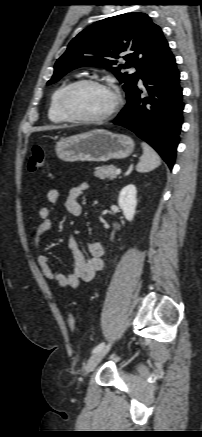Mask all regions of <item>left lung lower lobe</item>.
Wrapping results in <instances>:
<instances>
[{
    "mask_svg": "<svg viewBox=\"0 0 202 437\" xmlns=\"http://www.w3.org/2000/svg\"><path fill=\"white\" fill-rule=\"evenodd\" d=\"M145 97L137 86L114 124L126 127L149 143L172 169L183 123L180 72L169 46L143 73Z\"/></svg>",
    "mask_w": 202,
    "mask_h": 437,
    "instance_id": "left-lung-lower-lobe-1",
    "label": "left lung lower lobe"
}]
</instances>
